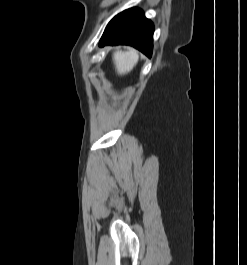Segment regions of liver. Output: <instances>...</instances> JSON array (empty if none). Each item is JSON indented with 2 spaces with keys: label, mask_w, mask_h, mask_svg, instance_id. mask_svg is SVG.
<instances>
[{
  "label": "liver",
  "mask_w": 247,
  "mask_h": 265,
  "mask_svg": "<svg viewBox=\"0 0 247 265\" xmlns=\"http://www.w3.org/2000/svg\"><path fill=\"white\" fill-rule=\"evenodd\" d=\"M138 59V52L132 48H129L127 51H122L117 48L113 54L114 65L119 75L130 72L137 64Z\"/></svg>",
  "instance_id": "obj_1"
}]
</instances>
